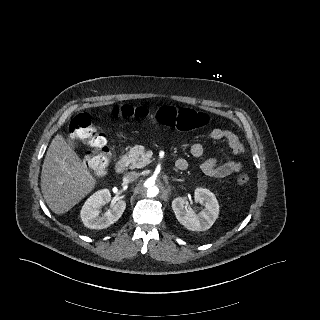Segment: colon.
Listing matches in <instances>:
<instances>
[{
	"label": "colon",
	"instance_id": "5ec220e1",
	"mask_svg": "<svg viewBox=\"0 0 320 320\" xmlns=\"http://www.w3.org/2000/svg\"><path fill=\"white\" fill-rule=\"evenodd\" d=\"M115 115L126 117L146 118L149 111L143 107L124 105L115 109ZM156 120L161 125L181 131H191L203 128L209 124L210 118L206 113L190 108L175 106L161 107L156 113ZM69 131L73 137L85 143L91 152L85 155L86 165L95 173L103 175L109 167V149L105 136L93 124L88 114H78L70 123ZM250 180L248 174H241L237 178L240 185Z\"/></svg>",
	"mask_w": 320,
	"mask_h": 320
}]
</instances>
